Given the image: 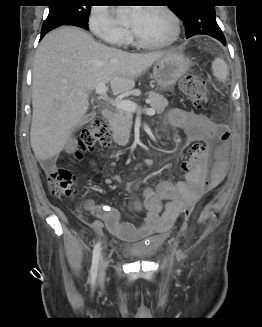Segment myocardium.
I'll return each mask as SVG.
<instances>
[{
	"instance_id": "obj_1",
	"label": "myocardium",
	"mask_w": 262,
	"mask_h": 327,
	"mask_svg": "<svg viewBox=\"0 0 262 327\" xmlns=\"http://www.w3.org/2000/svg\"><path fill=\"white\" fill-rule=\"evenodd\" d=\"M149 9L160 11L169 18V20L171 21V24H172V28H173L171 36L164 41L152 42V41L143 39L132 29L131 36H132L133 40L139 46L145 47V48H151V49L165 48V47L173 45L179 39L180 34H181V23H180L179 17L176 15V13L172 9H170L166 5H153V6L149 7Z\"/></svg>"
}]
</instances>
